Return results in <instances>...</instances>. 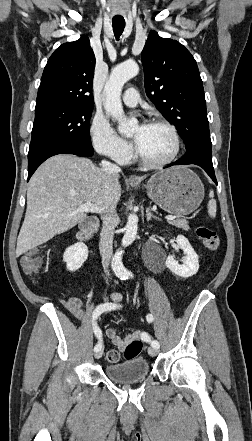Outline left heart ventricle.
Instances as JSON below:
<instances>
[{"instance_id":"1","label":"left heart ventricle","mask_w":252,"mask_h":441,"mask_svg":"<svg viewBox=\"0 0 252 441\" xmlns=\"http://www.w3.org/2000/svg\"><path fill=\"white\" fill-rule=\"evenodd\" d=\"M132 137L138 139L140 153L153 162L165 160L174 148L173 137L163 126H137L132 131Z\"/></svg>"}]
</instances>
